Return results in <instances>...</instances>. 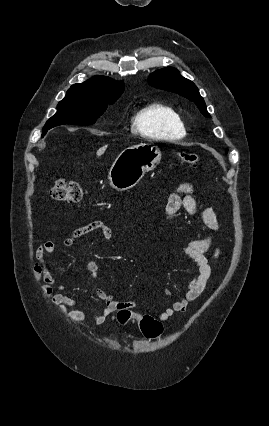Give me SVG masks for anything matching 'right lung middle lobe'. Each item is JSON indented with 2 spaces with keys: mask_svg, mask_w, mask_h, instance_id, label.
Segmentation results:
<instances>
[{
  "mask_svg": "<svg viewBox=\"0 0 269 426\" xmlns=\"http://www.w3.org/2000/svg\"><path fill=\"white\" fill-rule=\"evenodd\" d=\"M117 98L91 97L81 94H67L59 102L57 113L45 124L43 131L63 124L90 125L113 104Z\"/></svg>",
  "mask_w": 269,
  "mask_h": 426,
  "instance_id": "right-lung-middle-lobe-1",
  "label": "right lung middle lobe"
}]
</instances>
